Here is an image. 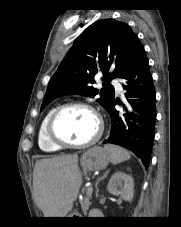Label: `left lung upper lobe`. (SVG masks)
Returning <instances> with one entry per match:
<instances>
[{
  "label": "left lung upper lobe",
  "mask_w": 181,
  "mask_h": 227,
  "mask_svg": "<svg viewBox=\"0 0 181 227\" xmlns=\"http://www.w3.org/2000/svg\"><path fill=\"white\" fill-rule=\"evenodd\" d=\"M140 43L136 34L123 22L113 19L96 21L74 41L52 76L41 110L54 98L64 94L100 95L97 101L107 109L114 101V88L109 82L120 77ZM103 73V88L91 86L94 76Z\"/></svg>",
  "instance_id": "left-lung-upper-lobe-1"
}]
</instances>
